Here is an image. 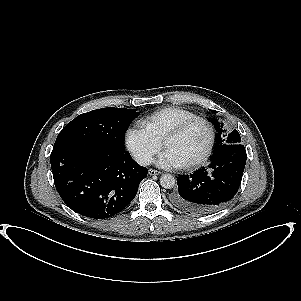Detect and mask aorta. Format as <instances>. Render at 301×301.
<instances>
[{
	"instance_id": "762f6f07",
	"label": "aorta",
	"mask_w": 301,
	"mask_h": 301,
	"mask_svg": "<svg viewBox=\"0 0 301 301\" xmlns=\"http://www.w3.org/2000/svg\"><path fill=\"white\" fill-rule=\"evenodd\" d=\"M160 185L165 189H171L176 185V179L171 174H163L160 177Z\"/></svg>"
}]
</instances>
